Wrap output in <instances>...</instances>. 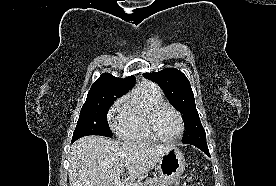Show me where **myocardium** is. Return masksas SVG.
Here are the masks:
<instances>
[{
  "mask_svg": "<svg viewBox=\"0 0 276 186\" xmlns=\"http://www.w3.org/2000/svg\"><path fill=\"white\" fill-rule=\"evenodd\" d=\"M163 108H169L171 109L179 118L180 120V125H181V128H180V131L179 133L173 137V138H165V137H162L157 129H156V117L158 115V113L163 109ZM148 128H149V131L150 133L152 134V136L158 140V141H161V142H164V143H172V142H175V141H178L179 139L182 138V136L184 135L185 133V120H184V117L182 115V113L176 108L174 107L172 104L170 103H167V102H162V103H159L157 105H155L150 113H149V116H148Z\"/></svg>",
  "mask_w": 276,
  "mask_h": 186,
  "instance_id": "obj_1",
  "label": "myocardium"
}]
</instances>
